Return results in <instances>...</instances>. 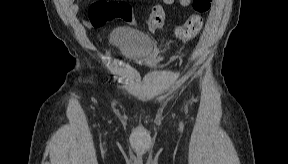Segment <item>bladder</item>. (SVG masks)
Returning a JSON list of instances; mask_svg holds the SVG:
<instances>
[{"label": "bladder", "mask_w": 288, "mask_h": 164, "mask_svg": "<svg viewBox=\"0 0 288 164\" xmlns=\"http://www.w3.org/2000/svg\"><path fill=\"white\" fill-rule=\"evenodd\" d=\"M115 41L124 55L138 63L147 61L155 49L154 43L146 37L120 34Z\"/></svg>", "instance_id": "31cf9c89"}]
</instances>
